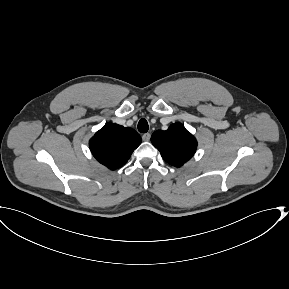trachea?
I'll return each mask as SVG.
<instances>
[{"instance_id": "3493384b", "label": "trachea", "mask_w": 289, "mask_h": 289, "mask_svg": "<svg viewBox=\"0 0 289 289\" xmlns=\"http://www.w3.org/2000/svg\"><path fill=\"white\" fill-rule=\"evenodd\" d=\"M149 129L148 122L146 119L142 118L138 122V131L141 133H146Z\"/></svg>"}]
</instances>
